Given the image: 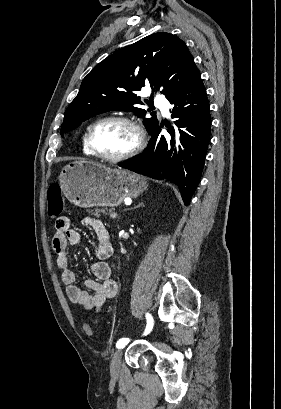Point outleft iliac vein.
<instances>
[{"label": "left iliac vein", "mask_w": 281, "mask_h": 409, "mask_svg": "<svg viewBox=\"0 0 281 409\" xmlns=\"http://www.w3.org/2000/svg\"><path fill=\"white\" fill-rule=\"evenodd\" d=\"M123 350L118 349L114 354L111 361L110 371L113 376L119 374L120 367H121V358H122Z\"/></svg>", "instance_id": "1"}]
</instances>
